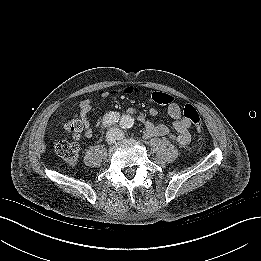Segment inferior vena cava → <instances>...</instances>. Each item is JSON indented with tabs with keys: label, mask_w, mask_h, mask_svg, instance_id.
<instances>
[{
	"label": "inferior vena cava",
	"mask_w": 261,
	"mask_h": 261,
	"mask_svg": "<svg viewBox=\"0 0 261 261\" xmlns=\"http://www.w3.org/2000/svg\"><path fill=\"white\" fill-rule=\"evenodd\" d=\"M117 130L115 129H111L110 131H108L107 133V138H108V141H115L116 137H114L113 133L116 132Z\"/></svg>",
	"instance_id": "obj_1"
}]
</instances>
